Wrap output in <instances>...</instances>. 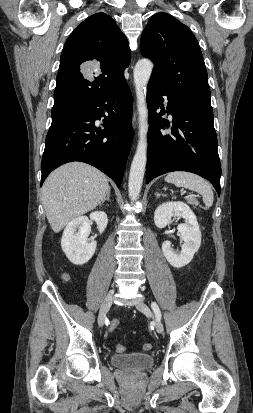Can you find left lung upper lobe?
I'll return each mask as SVG.
<instances>
[{
	"instance_id": "left-lung-upper-lobe-1",
	"label": "left lung upper lobe",
	"mask_w": 253,
	"mask_h": 413,
	"mask_svg": "<svg viewBox=\"0 0 253 413\" xmlns=\"http://www.w3.org/2000/svg\"><path fill=\"white\" fill-rule=\"evenodd\" d=\"M140 50L154 63L152 80L175 98L213 113L203 55L186 25L167 13L153 15L142 34Z\"/></svg>"
}]
</instances>
